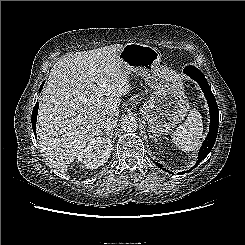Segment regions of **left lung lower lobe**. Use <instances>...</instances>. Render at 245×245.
I'll use <instances>...</instances> for the list:
<instances>
[{
	"instance_id": "left-lung-lower-lobe-1",
	"label": "left lung lower lobe",
	"mask_w": 245,
	"mask_h": 245,
	"mask_svg": "<svg viewBox=\"0 0 245 245\" xmlns=\"http://www.w3.org/2000/svg\"><path fill=\"white\" fill-rule=\"evenodd\" d=\"M184 73L187 74L193 80H195L201 87L202 91L204 92L205 98L207 99V103L209 106L210 126H209V132L207 134V137L199 150L198 160L196 164L190 170L180 172L179 174H184L186 172L188 173L192 171L209 154L216 141V137L218 133V123H219L218 106L205 76L202 74V72L199 69H197L194 66H187L184 69ZM155 163L159 168H163L161 164L157 162ZM163 170L167 171L164 168Z\"/></svg>"
}]
</instances>
